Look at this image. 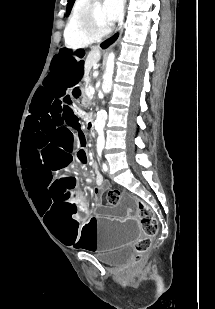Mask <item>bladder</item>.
Returning a JSON list of instances; mask_svg holds the SVG:
<instances>
[{"label":"bladder","instance_id":"obj_1","mask_svg":"<svg viewBox=\"0 0 215 309\" xmlns=\"http://www.w3.org/2000/svg\"><path fill=\"white\" fill-rule=\"evenodd\" d=\"M135 255V250L131 246H125L117 251L108 254L97 255L98 260L108 266L119 267L128 263Z\"/></svg>","mask_w":215,"mask_h":309}]
</instances>
